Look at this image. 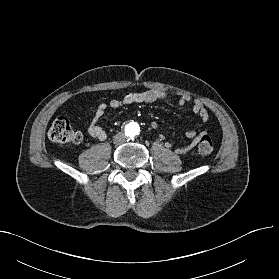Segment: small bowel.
I'll use <instances>...</instances> for the list:
<instances>
[{
    "label": "small bowel",
    "instance_id": "1",
    "mask_svg": "<svg viewBox=\"0 0 279 279\" xmlns=\"http://www.w3.org/2000/svg\"><path fill=\"white\" fill-rule=\"evenodd\" d=\"M167 95L165 92L155 90V89H147L144 91L139 92H130L123 95L121 98H114L111 99L107 104L101 103L97 106L93 120L87 127V132L90 136L95 138L96 140L103 141L107 137L106 131L98 124L99 119L103 116L107 107L111 108H121L124 106H128L131 104H140V103H153L158 100L166 99ZM187 103H192V110L193 112L200 117L202 122L206 125L209 120V113L203 103L197 99H192L189 95H182L179 98L178 104L179 106H184ZM186 135L192 139V141L182 147L176 149L178 154H186L189 152L193 147H195L200 138L203 135H207V126L203 131H196V130H188ZM167 146L170 147L171 145L167 143Z\"/></svg>",
    "mask_w": 279,
    "mask_h": 279
}]
</instances>
